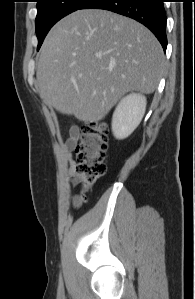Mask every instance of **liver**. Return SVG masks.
I'll return each instance as SVG.
<instances>
[{
  "instance_id": "6515ba94",
  "label": "liver",
  "mask_w": 195,
  "mask_h": 299,
  "mask_svg": "<svg viewBox=\"0 0 195 299\" xmlns=\"http://www.w3.org/2000/svg\"><path fill=\"white\" fill-rule=\"evenodd\" d=\"M164 62L160 43L142 24L106 10H78L46 36L37 85L60 113L98 122L126 93H152Z\"/></svg>"
}]
</instances>
